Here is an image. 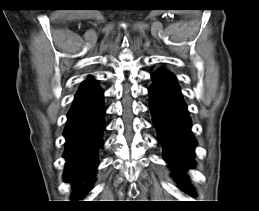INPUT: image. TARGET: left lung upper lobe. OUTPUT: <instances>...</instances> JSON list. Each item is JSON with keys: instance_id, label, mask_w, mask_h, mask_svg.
<instances>
[{"instance_id": "left-lung-upper-lobe-1", "label": "left lung upper lobe", "mask_w": 259, "mask_h": 211, "mask_svg": "<svg viewBox=\"0 0 259 211\" xmlns=\"http://www.w3.org/2000/svg\"><path fill=\"white\" fill-rule=\"evenodd\" d=\"M154 74H158L162 77H168V78L175 79V77L171 73H169L168 71H166L164 69H160L159 71L155 72Z\"/></svg>"}]
</instances>
